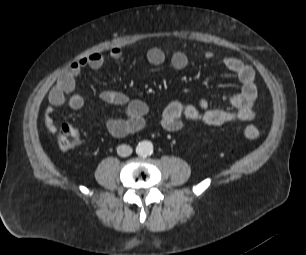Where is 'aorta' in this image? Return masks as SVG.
<instances>
[{
  "label": "aorta",
  "instance_id": "aorta-1",
  "mask_svg": "<svg viewBox=\"0 0 306 255\" xmlns=\"http://www.w3.org/2000/svg\"><path fill=\"white\" fill-rule=\"evenodd\" d=\"M136 153L139 156L146 157L153 153V144L150 141L144 140L138 143Z\"/></svg>",
  "mask_w": 306,
  "mask_h": 255
}]
</instances>
